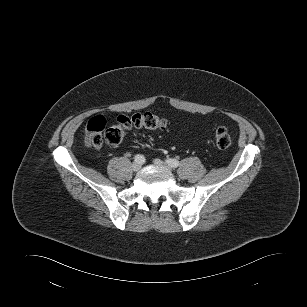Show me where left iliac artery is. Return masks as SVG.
Segmentation results:
<instances>
[{"mask_svg":"<svg viewBox=\"0 0 307 307\" xmlns=\"http://www.w3.org/2000/svg\"><path fill=\"white\" fill-rule=\"evenodd\" d=\"M166 163L173 168H176L180 165L179 161L176 159H167Z\"/></svg>","mask_w":307,"mask_h":307,"instance_id":"obj_1","label":"left iliac artery"}]
</instances>
